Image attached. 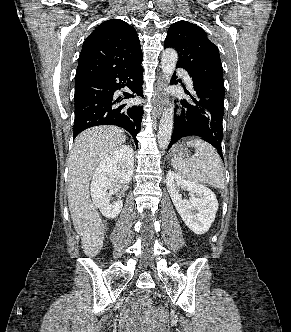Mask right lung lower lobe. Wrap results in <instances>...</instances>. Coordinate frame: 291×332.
I'll return each instance as SVG.
<instances>
[{
	"mask_svg": "<svg viewBox=\"0 0 291 332\" xmlns=\"http://www.w3.org/2000/svg\"><path fill=\"white\" fill-rule=\"evenodd\" d=\"M141 62L133 67L112 73H100L76 80L74 137L83 130L98 125H116L126 129L134 138L141 130L143 109L129 104H117L115 91L127 86L143 97V67ZM124 98H133L124 92Z\"/></svg>",
	"mask_w": 291,
	"mask_h": 332,
	"instance_id": "1",
	"label": "right lung lower lobe"
}]
</instances>
